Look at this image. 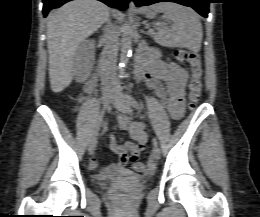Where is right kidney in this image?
I'll return each mask as SVG.
<instances>
[{
    "label": "right kidney",
    "mask_w": 260,
    "mask_h": 217,
    "mask_svg": "<svg viewBox=\"0 0 260 217\" xmlns=\"http://www.w3.org/2000/svg\"><path fill=\"white\" fill-rule=\"evenodd\" d=\"M95 43L93 40L84 41L77 49L74 61L75 80L85 82L91 73L94 60Z\"/></svg>",
    "instance_id": "ca27d5eb"
}]
</instances>
